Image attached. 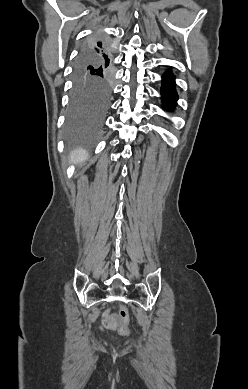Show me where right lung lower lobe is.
I'll return each mask as SVG.
<instances>
[{"label":"right lung lower lobe","instance_id":"obj_1","mask_svg":"<svg viewBox=\"0 0 248 389\" xmlns=\"http://www.w3.org/2000/svg\"><path fill=\"white\" fill-rule=\"evenodd\" d=\"M98 41H99L98 39H94V41L91 42V43L89 44V46H86V47L83 48L82 53H84V54H86V55H88V56H91L93 52H92L90 46L96 44Z\"/></svg>","mask_w":248,"mask_h":389}]
</instances>
